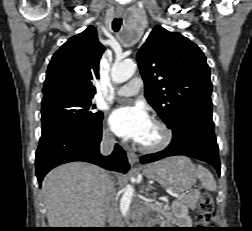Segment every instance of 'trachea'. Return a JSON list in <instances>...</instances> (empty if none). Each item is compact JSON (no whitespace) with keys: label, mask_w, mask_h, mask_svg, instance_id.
I'll return each instance as SVG.
<instances>
[{"label":"trachea","mask_w":252,"mask_h":231,"mask_svg":"<svg viewBox=\"0 0 252 231\" xmlns=\"http://www.w3.org/2000/svg\"><path fill=\"white\" fill-rule=\"evenodd\" d=\"M121 25H122V19H120V18L114 19L112 22V28H113L114 32H118Z\"/></svg>","instance_id":"obj_1"}]
</instances>
